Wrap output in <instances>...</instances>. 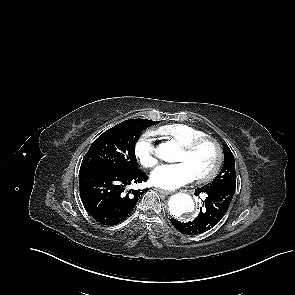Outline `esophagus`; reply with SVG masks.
Returning a JSON list of instances; mask_svg holds the SVG:
<instances>
[{
	"instance_id": "obj_1",
	"label": "esophagus",
	"mask_w": 295,
	"mask_h": 295,
	"mask_svg": "<svg viewBox=\"0 0 295 295\" xmlns=\"http://www.w3.org/2000/svg\"><path fill=\"white\" fill-rule=\"evenodd\" d=\"M155 190L158 191V192L161 193V194H164V195H169V194H171L170 191H167V190H164V189L156 188Z\"/></svg>"
}]
</instances>
